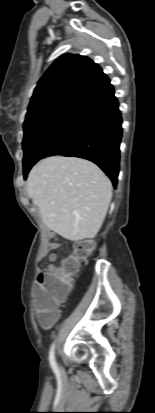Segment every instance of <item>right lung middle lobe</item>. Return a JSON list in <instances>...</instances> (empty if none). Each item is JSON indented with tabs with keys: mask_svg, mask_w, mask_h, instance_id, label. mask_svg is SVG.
<instances>
[{
	"mask_svg": "<svg viewBox=\"0 0 155 413\" xmlns=\"http://www.w3.org/2000/svg\"><path fill=\"white\" fill-rule=\"evenodd\" d=\"M77 108L78 104L63 105L24 124V176L60 137Z\"/></svg>",
	"mask_w": 155,
	"mask_h": 413,
	"instance_id": "1",
	"label": "right lung middle lobe"
}]
</instances>
